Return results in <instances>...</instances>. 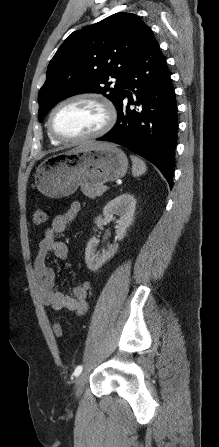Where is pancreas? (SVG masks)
<instances>
[{
    "mask_svg": "<svg viewBox=\"0 0 219 447\" xmlns=\"http://www.w3.org/2000/svg\"><path fill=\"white\" fill-rule=\"evenodd\" d=\"M81 191L85 196L95 198L105 192V186L103 184L83 185Z\"/></svg>",
    "mask_w": 219,
    "mask_h": 447,
    "instance_id": "obj_1",
    "label": "pancreas"
}]
</instances>
